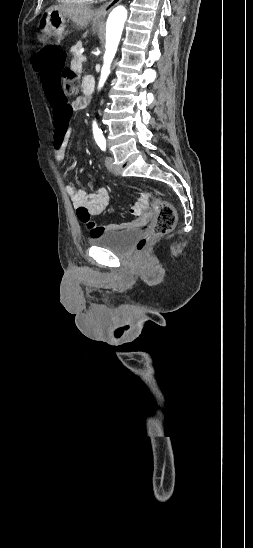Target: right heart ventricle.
Wrapping results in <instances>:
<instances>
[{"label":"right heart ventricle","mask_w":253,"mask_h":548,"mask_svg":"<svg viewBox=\"0 0 253 548\" xmlns=\"http://www.w3.org/2000/svg\"><path fill=\"white\" fill-rule=\"evenodd\" d=\"M58 1L64 4H86L93 0H58Z\"/></svg>","instance_id":"1"}]
</instances>
